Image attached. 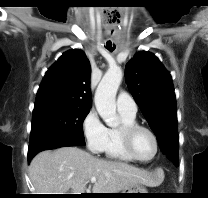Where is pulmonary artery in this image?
Here are the masks:
<instances>
[{
  "label": "pulmonary artery",
  "instance_id": "obj_1",
  "mask_svg": "<svg viewBox=\"0 0 208 198\" xmlns=\"http://www.w3.org/2000/svg\"><path fill=\"white\" fill-rule=\"evenodd\" d=\"M117 109L119 112H124L129 115H136L137 105L134 99L126 92H120L116 100Z\"/></svg>",
  "mask_w": 208,
  "mask_h": 198
}]
</instances>
